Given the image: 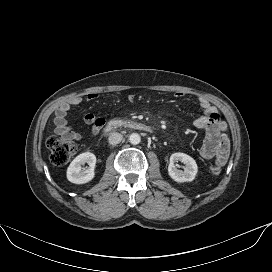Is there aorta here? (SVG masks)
Returning a JSON list of instances; mask_svg holds the SVG:
<instances>
[{
    "label": "aorta",
    "instance_id": "1",
    "mask_svg": "<svg viewBox=\"0 0 272 272\" xmlns=\"http://www.w3.org/2000/svg\"><path fill=\"white\" fill-rule=\"evenodd\" d=\"M129 142L133 145H137L141 142V137L139 134L137 133H132L130 136H129Z\"/></svg>",
    "mask_w": 272,
    "mask_h": 272
}]
</instances>
